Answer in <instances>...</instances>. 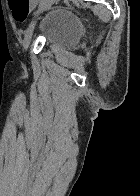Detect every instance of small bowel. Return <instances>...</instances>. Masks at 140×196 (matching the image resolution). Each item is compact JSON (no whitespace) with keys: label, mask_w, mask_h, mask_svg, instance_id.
<instances>
[{"label":"small bowel","mask_w":140,"mask_h":196,"mask_svg":"<svg viewBox=\"0 0 140 196\" xmlns=\"http://www.w3.org/2000/svg\"><path fill=\"white\" fill-rule=\"evenodd\" d=\"M33 1V3H36L38 0H32Z\"/></svg>","instance_id":"small-bowel-1"}]
</instances>
